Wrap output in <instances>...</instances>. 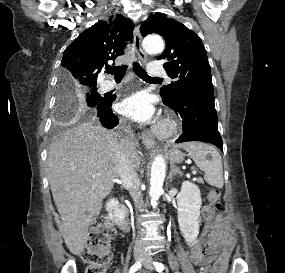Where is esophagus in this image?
<instances>
[{"instance_id":"1","label":"esophagus","mask_w":285,"mask_h":273,"mask_svg":"<svg viewBox=\"0 0 285 273\" xmlns=\"http://www.w3.org/2000/svg\"><path fill=\"white\" fill-rule=\"evenodd\" d=\"M134 48L139 57V59L145 64L147 62V55L142 48V38L140 34L139 27L136 26L134 29ZM143 144L147 149H151L155 146V142L147 134H142Z\"/></svg>"}]
</instances>
